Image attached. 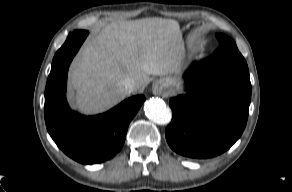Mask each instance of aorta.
<instances>
[{
    "label": "aorta",
    "instance_id": "762f6f07",
    "mask_svg": "<svg viewBox=\"0 0 292 192\" xmlns=\"http://www.w3.org/2000/svg\"><path fill=\"white\" fill-rule=\"evenodd\" d=\"M144 111L147 117L158 124H167L171 120V114L166 104L160 98H150L144 103Z\"/></svg>",
    "mask_w": 292,
    "mask_h": 192
}]
</instances>
